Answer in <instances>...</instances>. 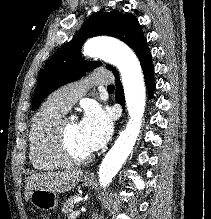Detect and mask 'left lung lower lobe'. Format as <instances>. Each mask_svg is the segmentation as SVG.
Returning a JSON list of instances; mask_svg holds the SVG:
<instances>
[{"label":"left lung lower lobe","instance_id":"obj_1","mask_svg":"<svg viewBox=\"0 0 211 219\" xmlns=\"http://www.w3.org/2000/svg\"><path fill=\"white\" fill-rule=\"evenodd\" d=\"M135 53L137 54L141 65H142V69H143V73H144V78H145V82L149 91V95L152 96L153 95V91L155 88V82H154V68L151 62V53L147 47V41L146 39H144L141 44L139 45V47L137 48V50L135 51ZM115 78H116V102L121 104L123 107L125 105V101H124V94H123V88H122V84L120 82L119 79V73L118 71H114L113 72Z\"/></svg>","mask_w":211,"mask_h":219}]
</instances>
